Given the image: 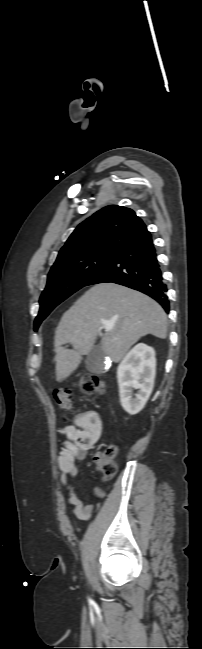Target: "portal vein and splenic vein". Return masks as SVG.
<instances>
[{"label":"portal vein and splenic vein","instance_id":"obj_1","mask_svg":"<svg viewBox=\"0 0 202 649\" xmlns=\"http://www.w3.org/2000/svg\"><path fill=\"white\" fill-rule=\"evenodd\" d=\"M106 328H107V329H110V328H111V326H110V325H107V326H106Z\"/></svg>","mask_w":202,"mask_h":649}]
</instances>
